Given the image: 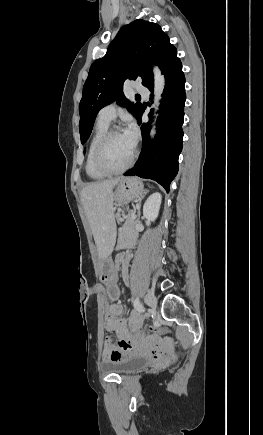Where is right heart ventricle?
I'll list each match as a JSON object with an SVG mask.
<instances>
[{"label": "right heart ventricle", "instance_id": "obj_1", "mask_svg": "<svg viewBox=\"0 0 263 435\" xmlns=\"http://www.w3.org/2000/svg\"><path fill=\"white\" fill-rule=\"evenodd\" d=\"M109 124L101 122L99 120L96 121L93 133L88 145L87 155H86V162H85V171L87 176L90 179L93 180H100L106 177L107 175L100 172L96 169L93 162V153L95 146L98 142V140L101 138V136L108 130Z\"/></svg>", "mask_w": 263, "mask_h": 435}]
</instances>
